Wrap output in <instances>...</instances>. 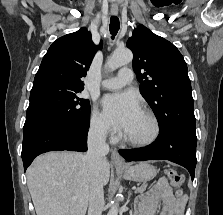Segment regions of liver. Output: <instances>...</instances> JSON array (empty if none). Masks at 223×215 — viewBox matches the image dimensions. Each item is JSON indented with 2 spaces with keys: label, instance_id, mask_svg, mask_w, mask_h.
I'll use <instances>...</instances> for the list:
<instances>
[{
  "label": "liver",
  "instance_id": "obj_1",
  "mask_svg": "<svg viewBox=\"0 0 223 215\" xmlns=\"http://www.w3.org/2000/svg\"><path fill=\"white\" fill-rule=\"evenodd\" d=\"M26 173L37 215H85L91 185L86 155L48 151L38 155ZM101 175L106 185L110 177L107 159L103 161ZM73 195L77 199H72Z\"/></svg>",
  "mask_w": 223,
  "mask_h": 215
}]
</instances>
